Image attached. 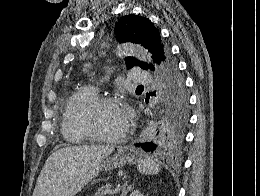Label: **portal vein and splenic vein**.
Listing matches in <instances>:
<instances>
[{
    "label": "portal vein and splenic vein",
    "mask_w": 260,
    "mask_h": 196,
    "mask_svg": "<svg viewBox=\"0 0 260 196\" xmlns=\"http://www.w3.org/2000/svg\"><path fill=\"white\" fill-rule=\"evenodd\" d=\"M117 190H120V187H117Z\"/></svg>",
    "instance_id": "obj_1"
}]
</instances>
